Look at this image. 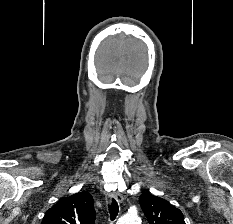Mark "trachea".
Segmentation results:
<instances>
[{
    "label": "trachea",
    "instance_id": "trachea-1",
    "mask_svg": "<svg viewBox=\"0 0 233 224\" xmlns=\"http://www.w3.org/2000/svg\"><path fill=\"white\" fill-rule=\"evenodd\" d=\"M108 207H109L110 218L113 221L115 220L119 212L117 201L114 198H112V201Z\"/></svg>",
    "mask_w": 233,
    "mask_h": 224
}]
</instances>
